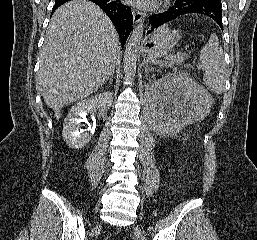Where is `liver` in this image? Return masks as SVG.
I'll use <instances>...</instances> for the list:
<instances>
[{
	"instance_id": "liver-1",
	"label": "liver",
	"mask_w": 257,
	"mask_h": 240,
	"mask_svg": "<svg viewBox=\"0 0 257 240\" xmlns=\"http://www.w3.org/2000/svg\"><path fill=\"white\" fill-rule=\"evenodd\" d=\"M119 38L108 16L94 3L72 0L49 23L38 79L46 105L57 116L64 105L97 91L114 71Z\"/></svg>"
}]
</instances>
